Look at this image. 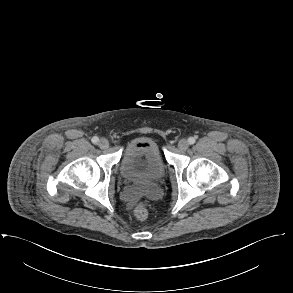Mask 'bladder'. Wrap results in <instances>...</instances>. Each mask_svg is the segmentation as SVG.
<instances>
[{"mask_svg": "<svg viewBox=\"0 0 293 293\" xmlns=\"http://www.w3.org/2000/svg\"><path fill=\"white\" fill-rule=\"evenodd\" d=\"M120 174L128 183L151 189L164 177L165 164L158 146L149 140L128 145L120 163Z\"/></svg>", "mask_w": 293, "mask_h": 293, "instance_id": "bladder-1", "label": "bladder"}]
</instances>
